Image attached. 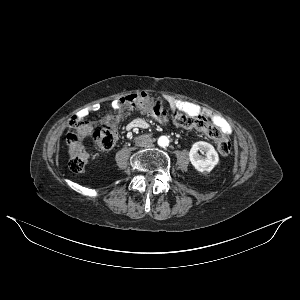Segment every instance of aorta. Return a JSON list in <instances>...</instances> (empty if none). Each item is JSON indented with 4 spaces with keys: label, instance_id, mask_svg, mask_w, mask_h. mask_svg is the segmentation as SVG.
<instances>
[{
    "label": "aorta",
    "instance_id": "762f6f07",
    "mask_svg": "<svg viewBox=\"0 0 300 300\" xmlns=\"http://www.w3.org/2000/svg\"><path fill=\"white\" fill-rule=\"evenodd\" d=\"M157 143L160 147H167L169 145V139L167 136H160Z\"/></svg>",
    "mask_w": 300,
    "mask_h": 300
}]
</instances>
